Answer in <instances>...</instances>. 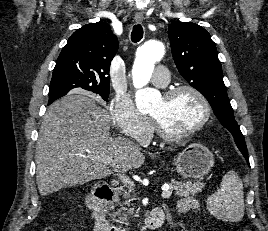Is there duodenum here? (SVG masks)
Returning <instances> with one entry per match:
<instances>
[{
	"label": "duodenum",
	"instance_id": "410a0bca",
	"mask_svg": "<svg viewBox=\"0 0 268 231\" xmlns=\"http://www.w3.org/2000/svg\"><path fill=\"white\" fill-rule=\"evenodd\" d=\"M113 200V190L108 182L97 184L91 195L87 197V204L93 210V219L96 223L95 231H126L108 221L104 208ZM165 217L161 209L152 210L145 221L144 226L138 231H151L163 223Z\"/></svg>",
	"mask_w": 268,
	"mask_h": 231
}]
</instances>
